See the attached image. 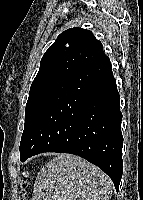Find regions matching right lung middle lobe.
Wrapping results in <instances>:
<instances>
[{"instance_id":"right-lung-middle-lobe-1","label":"right lung middle lobe","mask_w":143,"mask_h":200,"mask_svg":"<svg viewBox=\"0 0 143 200\" xmlns=\"http://www.w3.org/2000/svg\"><path fill=\"white\" fill-rule=\"evenodd\" d=\"M64 75L48 76L33 81L25 110V126L22 134V140L25 139L28 128L35 116L36 112L47 99V97L66 79Z\"/></svg>"}]
</instances>
